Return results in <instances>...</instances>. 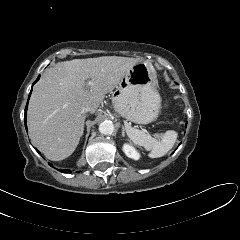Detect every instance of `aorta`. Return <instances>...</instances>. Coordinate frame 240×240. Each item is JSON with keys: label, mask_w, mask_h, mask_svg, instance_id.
Masks as SVG:
<instances>
[{"label": "aorta", "mask_w": 240, "mask_h": 240, "mask_svg": "<svg viewBox=\"0 0 240 240\" xmlns=\"http://www.w3.org/2000/svg\"><path fill=\"white\" fill-rule=\"evenodd\" d=\"M99 131L104 135H111L114 132V124L111 121H104L100 123Z\"/></svg>", "instance_id": "aorta-1"}]
</instances>
